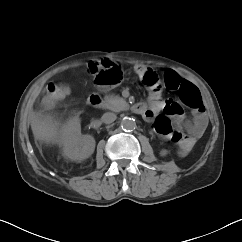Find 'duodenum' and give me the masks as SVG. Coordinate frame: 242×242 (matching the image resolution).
I'll use <instances>...</instances> for the list:
<instances>
[{"label": "duodenum", "instance_id": "410a0bca", "mask_svg": "<svg viewBox=\"0 0 242 242\" xmlns=\"http://www.w3.org/2000/svg\"><path fill=\"white\" fill-rule=\"evenodd\" d=\"M88 102L91 106L96 107V108H102L105 106V101L103 100V97L101 96L100 93H91L88 96ZM130 110L138 115H143L145 114L147 110V106L145 104H134L130 107Z\"/></svg>", "mask_w": 242, "mask_h": 242}]
</instances>
